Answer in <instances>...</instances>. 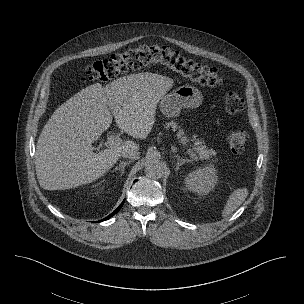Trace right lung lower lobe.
<instances>
[{"instance_id":"obj_1","label":"right lung lower lobe","mask_w":304,"mask_h":304,"mask_svg":"<svg viewBox=\"0 0 304 304\" xmlns=\"http://www.w3.org/2000/svg\"><path fill=\"white\" fill-rule=\"evenodd\" d=\"M123 204H124V201H123V202L119 205V207H118L116 210H114L109 216H107L106 218H104V219H102V220H100V221H98V222L105 221V220L109 219L110 217H112L115 213H117V212L121 209V207L123 206Z\"/></svg>"}]
</instances>
